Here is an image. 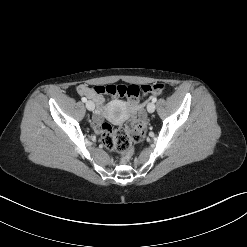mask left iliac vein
Returning a JSON list of instances; mask_svg holds the SVG:
<instances>
[{
	"label": "left iliac vein",
	"mask_w": 247,
	"mask_h": 247,
	"mask_svg": "<svg viewBox=\"0 0 247 247\" xmlns=\"http://www.w3.org/2000/svg\"><path fill=\"white\" fill-rule=\"evenodd\" d=\"M147 111L149 113H153L155 111V104L154 102H149L147 105Z\"/></svg>",
	"instance_id": "1"
}]
</instances>
